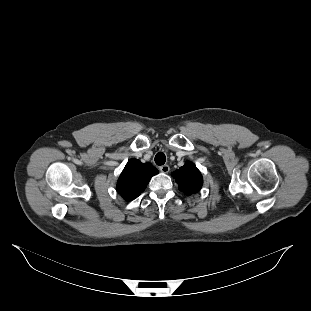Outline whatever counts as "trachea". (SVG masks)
Wrapping results in <instances>:
<instances>
[{"mask_svg": "<svg viewBox=\"0 0 311 311\" xmlns=\"http://www.w3.org/2000/svg\"><path fill=\"white\" fill-rule=\"evenodd\" d=\"M165 161H166V156H165L164 153L159 152V153L156 154V156H155V163L157 165H163V164H165Z\"/></svg>", "mask_w": 311, "mask_h": 311, "instance_id": "trachea-1", "label": "trachea"}]
</instances>
